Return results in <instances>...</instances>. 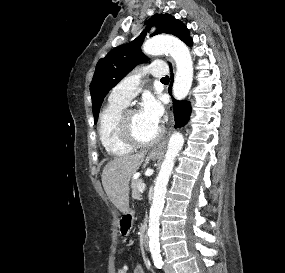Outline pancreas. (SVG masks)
Masks as SVG:
<instances>
[{"label": "pancreas", "instance_id": "pancreas-1", "mask_svg": "<svg viewBox=\"0 0 285 273\" xmlns=\"http://www.w3.org/2000/svg\"><path fill=\"white\" fill-rule=\"evenodd\" d=\"M143 183L142 180H132L131 188H132V197L137 200H141V190L140 185Z\"/></svg>", "mask_w": 285, "mask_h": 273}]
</instances>
